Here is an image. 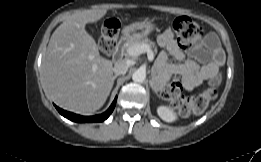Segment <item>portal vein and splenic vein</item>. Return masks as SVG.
Segmentation results:
<instances>
[{
    "instance_id": "obj_1",
    "label": "portal vein and splenic vein",
    "mask_w": 261,
    "mask_h": 162,
    "mask_svg": "<svg viewBox=\"0 0 261 162\" xmlns=\"http://www.w3.org/2000/svg\"><path fill=\"white\" fill-rule=\"evenodd\" d=\"M147 53V56H148V60L149 61H153L154 59V53L153 51L151 50V47L147 44H139V45H135V46H132L130 47L128 50H127V54L129 56H138L142 53Z\"/></svg>"
}]
</instances>
